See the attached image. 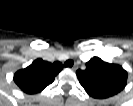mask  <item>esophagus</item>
Here are the masks:
<instances>
[{
    "label": "esophagus",
    "mask_w": 133,
    "mask_h": 106,
    "mask_svg": "<svg viewBox=\"0 0 133 106\" xmlns=\"http://www.w3.org/2000/svg\"><path fill=\"white\" fill-rule=\"evenodd\" d=\"M77 68H78V65L74 64V66L72 67V70H77Z\"/></svg>",
    "instance_id": "obj_1"
}]
</instances>
